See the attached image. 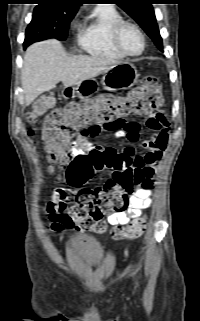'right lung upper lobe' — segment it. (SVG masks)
<instances>
[{
  "instance_id": "1",
  "label": "right lung upper lobe",
  "mask_w": 200,
  "mask_h": 321,
  "mask_svg": "<svg viewBox=\"0 0 200 321\" xmlns=\"http://www.w3.org/2000/svg\"><path fill=\"white\" fill-rule=\"evenodd\" d=\"M37 6L48 7L57 13H70L78 10L85 0H38Z\"/></svg>"
}]
</instances>
